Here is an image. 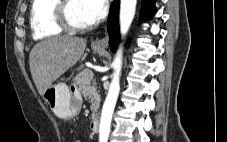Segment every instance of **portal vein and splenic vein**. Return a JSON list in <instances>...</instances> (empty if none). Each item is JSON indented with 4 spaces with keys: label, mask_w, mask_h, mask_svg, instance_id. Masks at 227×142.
I'll use <instances>...</instances> for the list:
<instances>
[{
    "label": "portal vein and splenic vein",
    "mask_w": 227,
    "mask_h": 142,
    "mask_svg": "<svg viewBox=\"0 0 227 142\" xmlns=\"http://www.w3.org/2000/svg\"><path fill=\"white\" fill-rule=\"evenodd\" d=\"M86 75L89 81L93 80V72L89 71Z\"/></svg>",
    "instance_id": "1"
}]
</instances>
